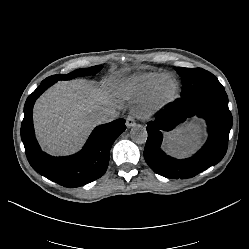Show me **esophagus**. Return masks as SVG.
<instances>
[{"instance_id":"1","label":"esophagus","mask_w":249,"mask_h":249,"mask_svg":"<svg viewBox=\"0 0 249 249\" xmlns=\"http://www.w3.org/2000/svg\"><path fill=\"white\" fill-rule=\"evenodd\" d=\"M135 125H136V121H135L134 117L131 115H128L126 117V126L128 128H131V127H134Z\"/></svg>"}]
</instances>
